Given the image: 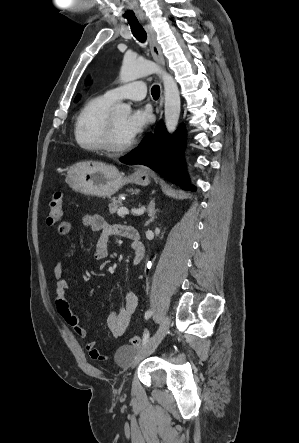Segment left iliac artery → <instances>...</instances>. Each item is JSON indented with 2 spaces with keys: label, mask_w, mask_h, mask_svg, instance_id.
<instances>
[{
  "label": "left iliac artery",
  "mask_w": 299,
  "mask_h": 443,
  "mask_svg": "<svg viewBox=\"0 0 299 443\" xmlns=\"http://www.w3.org/2000/svg\"><path fill=\"white\" fill-rule=\"evenodd\" d=\"M152 314H153V311L152 310H148L145 313V319L150 318L152 316ZM148 340H149V333H148V331H145L144 335H143V344L145 345L148 342Z\"/></svg>",
  "instance_id": "1"
}]
</instances>
